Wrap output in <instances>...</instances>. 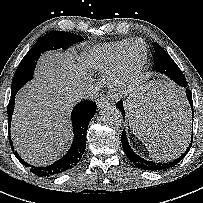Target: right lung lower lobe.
Wrapping results in <instances>:
<instances>
[{
    "label": "right lung lower lobe",
    "instance_id": "98d812e1",
    "mask_svg": "<svg viewBox=\"0 0 203 203\" xmlns=\"http://www.w3.org/2000/svg\"><path fill=\"white\" fill-rule=\"evenodd\" d=\"M15 95L16 93H11V99L7 108L9 128L14 109ZM95 112L96 103L88 100H84L74 107L71 114V120L74 130L73 144L68 153L53 164L46 167H37L25 162L16 151L14 152L15 156L23 165L29 167L32 173L39 177L54 176L73 168L80 161L82 154L85 151L88 124L90 120L94 117ZM9 142L13 150V145L10 136Z\"/></svg>",
    "mask_w": 203,
    "mask_h": 203
}]
</instances>
